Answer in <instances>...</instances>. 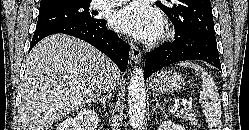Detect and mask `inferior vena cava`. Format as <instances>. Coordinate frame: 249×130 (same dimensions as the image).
I'll use <instances>...</instances> for the list:
<instances>
[{
    "instance_id": "inferior-vena-cava-1",
    "label": "inferior vena cava",
    "mask_w": 249,
    "mask_h": 130,
    "mask_svg": "<svg viewBox=\"0 0 249 130\" xmlns=\"http://www.w3.org/2000/svg\"><path fill=\"white\" fill-rule=\"evenodd\" d=\"M116 77H112L111 80L106 84L104 92L111 93V90L115 87Z\"/></svg>"
}]
</instances>
